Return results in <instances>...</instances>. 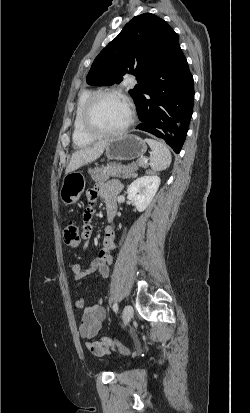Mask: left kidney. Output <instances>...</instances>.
I'll list each match as a JSON object with an SVG mask.
<instances>
[{
	"label": "left kidney",
	"instance_id": "5707ae66",
	"mask_svg": "<svg viewBox=\"0 0 250 413\" xmlns=\"http://www.w3.org/2000/svg\"><path fill=\"white\" fill-rule=\"evenodd\" d=\"M160 185V178L155 174L142 176L134 180L127 189V198L139 212L144 211L152 201Z\"/></svg>",
	"mask_w": 250,
	"mask_h": 413
}]
</instances>
